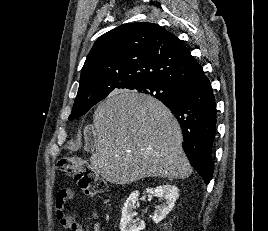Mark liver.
I'll use <instances>...</instances> for the list:
<instances>
[{"label": "liver", "mask_w": 268, "mask_h": 231, "mask_svg": "<svg viewBox=\"0 0 268 231\" xmlns=\"http://www.w3.org/2000/svg\"><path fill=\"white\" fill-rule=\"evenodd\" d=\"M88 130L95 146L92 168L110 183L125 185L146 177L184 179L192 173L177 120L150 96L116 91L99 103Z\"/></svg>", "instance_id": "1"}]
</instances>
